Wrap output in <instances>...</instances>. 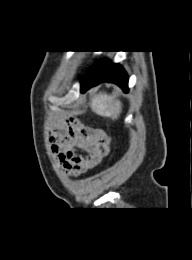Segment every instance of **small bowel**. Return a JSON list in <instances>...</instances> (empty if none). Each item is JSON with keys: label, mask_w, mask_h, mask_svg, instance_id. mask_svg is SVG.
<instances>
[{"label": "small bowel", "mask_w": 192, "mask_h": 260, "mask_svg": "<svg viewBox=\"0 0 192 260\" xmlns=\"http://www.w3.org/2000/svg\"><path fill=\"white\" fill-rule=\"evenodd\" d=\"M51 149L65 173L76 178L100 164L108 152V136L102 129L69 118L55 126L51 134ZM77 150L86 154L79 155Z\"/></svg>", "instance_id": "obj_1"}]
</instances>
